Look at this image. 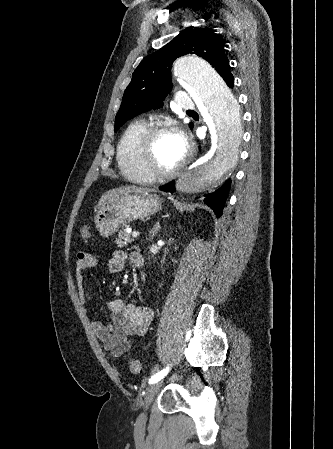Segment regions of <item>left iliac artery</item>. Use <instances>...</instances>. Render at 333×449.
Returning a JSON list of instances; mask_svg holds the SVG:
<instances>
[{
  "label": "left iliac artery",
  "instance_id": "44dca946",
  "mask_svg": "<svg viewBox=\"0 0 333 449\" xmlns=\"http://www.w3.org/2000/svg\"><path fill=\"white\" fill-rule=\"evenodd\" d=\"M168 371H169V367H166V368L162 369L161 371L152 375L151 378L149 379V384H153V383L158 382L161 379H163L164 376H166V374L168 373Z\"/></svg>",
  "mask_w": 333,
  "mask_h": 449
}]
</instances>
